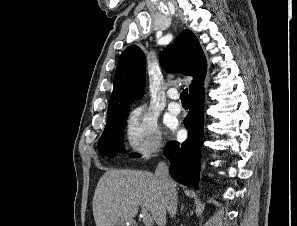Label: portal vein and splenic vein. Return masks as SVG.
Returning <instances> with one entry per match:
<instances>
[{"instance_id": "18ae733b", "label": "portal vein and splenic vein", "mask_w": 297, "mask_h": 226, "mask_svg": "<svg viewBox=\"0 0 297 226\" xmlns=\"http://www.w3.org/2000/svg\"><path fill=\"white\" fill-rule=\"evenodd\" d=\"M143 218V222L146 226H151L153 224V219L151 218V216L148 214V212L146 211V209L142 208L141 211V215Z\"/></svg>"}]
</instances>
